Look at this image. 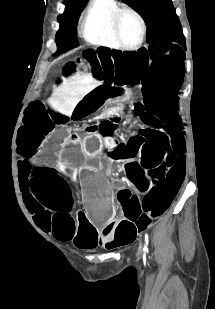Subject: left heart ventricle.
Instances as JSON below:
<instances>
[{
    "mask_svg": "<svg viewBox=\"0 0 215 309\" xmlns=\"http://www.w3.org/2000/svg\"><path fill=\"white\" fill-rule=\"evenodd\" d=\"M122 15L123 18L118 29L120 34L119 41H126L125 45H131L138 39V25L132 16L128 14Z\"/></svg>",
    "mask_w": 215,
    "mask_h": 309,
    "instance_id": "obj_1",
    "label": "left heart ventricle"
}]
</instances>
